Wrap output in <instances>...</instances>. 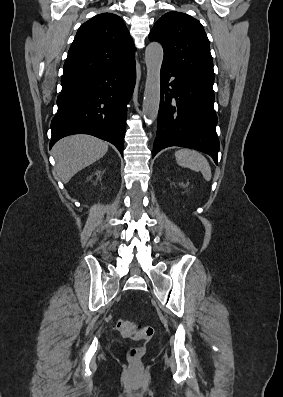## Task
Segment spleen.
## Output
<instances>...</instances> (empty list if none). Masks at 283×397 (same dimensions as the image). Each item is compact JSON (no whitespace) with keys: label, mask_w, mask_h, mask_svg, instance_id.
<instances>
[{"label":"spleen","mask_w":283,"mask_h":397,"mask_svg":"<svg viewBox=\"0 0 283 397\" xmlns=\"http://www.w3.org/2000/svg\"><path fill=\"white\" fill-rule=\"evenodd\" d=\"M175 158L180 166L200 171L207 181L211 179V167L207 159L199 152L190 149H180L175 152Z\"/></svg>","instance_id":"spleen-1"}]
</instances>
